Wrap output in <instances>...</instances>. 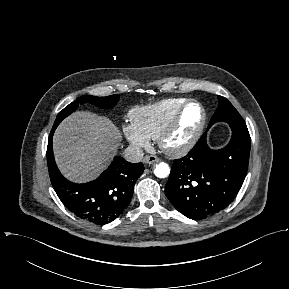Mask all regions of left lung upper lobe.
Instances as JSON below:
<instances>
[{
	"instance_id": "obj_1",
	"label": "left lung upper lobe",
	"mask_w": 289,
	"mask_h": 289,
	"mask_svg": "<svg viewBox=\"0 0 289 289\" xmlns=\"http://www.w3.org/2000/svg\"><path fill=\"white\" fill-rule=\"evenodd\" d=\"M218 100V108L212 116L209 126L219 121L227 122L230 125L246 126L241 115L225 97L218 96Z\"/></svg>"
}]
</instances>
